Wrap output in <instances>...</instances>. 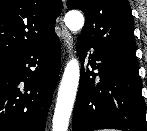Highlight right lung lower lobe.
I'll list each match as a JSON object with an SVG mask.
<instances>
[{
	"instance_id": "1",
	"label": "right lung lower lobe",
	"mask_w": 147,
	"mask_h": 131,
	"mask_svg": "<svg viewBox=\"0 0 147 131\" xmlns=\"http://www.w3.org/2000/svg\"><path fill=\"white\" fill-rule=\"evenodd\" d=\"M60 62L57 35L0 60V131H45Z\"/></svg>"
}]
</instances>
